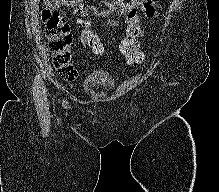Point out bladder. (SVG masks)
I'll return each instance as SVG.
<instances>
[{
    "instance_id": "1",
    "label": "bladder",
    "mask_w": 219,
    "mask_h": 192,
    "mask_svg": "<svg viewBox=\"0 0 219 192\" xmlns=\"http://www.w3.org/2000/svg\"><path fill=\"white\" fill-rule=\"evenodd\" d=\"M112 83L113 78L106 71L96 70L88 73L84 77V86L88 93L105 90L110 87Z\"/></svg>"
}]
</instances>
